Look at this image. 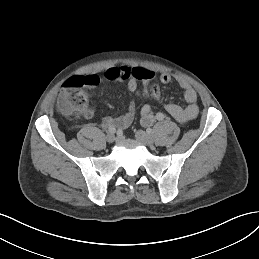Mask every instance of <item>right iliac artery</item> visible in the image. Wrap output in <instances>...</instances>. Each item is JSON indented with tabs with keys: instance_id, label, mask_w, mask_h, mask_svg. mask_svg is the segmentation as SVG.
Wrapping results in <instances>:
<instances>
[{
	"instance_id": "1",
	"label": "right iliac artery",
	"mask_w": 259,
	"mask_h": 259,
	"mask_svg": "<svg viewBox=\"0 0 259 259\" xmlns=\"http://www.w3.org/2000/svg\"><path fill=\"white\" fill-rule=\"evenodd\" d=\"M108 131H109V133L114 134V133L116 132V129H115V127H113V126H110V127L108 128Z\"/></svg>"
}]
</instances>
